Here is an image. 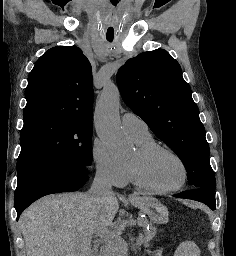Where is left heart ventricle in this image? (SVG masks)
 Returning <instances> with one entry per match:
<instances>
[{
  "mask_svg": "<svg viewBox=\"0 0 236 256\" xmlns=\"http://www.w3.org/2000/svg\"><path fill=\"white\" fill-rule=\"evenodd\" d=\"M135 152L129 162L135 161ZM146 174L151 183L159 187H173L183 178V168L180 162L171 154L159 153L152 156L146 163Z\"/></svg>",
  "mask_w": 236,
  "mask_h": 256,
  "instance_id": "1",
  "label": "left heart ventricle"
}]
</instances>
